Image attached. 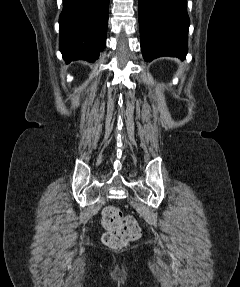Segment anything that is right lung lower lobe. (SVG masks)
<instances>
[{"label":"right lung lower lobe","instance_id":"obj_1","mask_svg":"<svg viewBox=\"0 0 240 287\" xmlns=\"http://www.w3.org/2000/svg\"><path fill=\"white\" fill-rule=\"evenodd\" d=\"M109 0H64L59 49L66 63L94 62L104 50Z\"/></svg>","mask_w":240,"mask_h":287}]
</instances>
